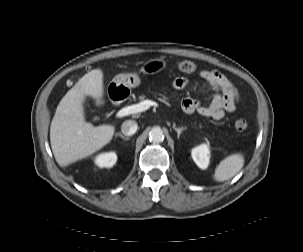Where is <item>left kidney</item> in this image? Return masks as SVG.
Listing matches in <instances>:
<instances>
[{
    "label": "left kidney",
    "mask_w": 303,
    "mask_h": 252,
    "mask_svg": "<svg viewBox=\"0 0 303 252\" xmlns=\"http://www.w3.org/2000/svg\"><path fill=\"white\" fill-rule=\"evenodd\" d=\"M191 156L195 164L201 168L206 169L209 165L210 150L208 144H201L192 149Z\"/></svg>",
    "instance_id": "left-kidney-1"
}]
</instances>
